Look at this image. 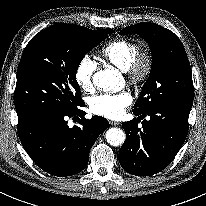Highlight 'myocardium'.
I'll list each match as a JSON object with an SVG mask.
<instances>
[{"label": "myocardium", "instance_id": "1", "mask_svg": "<svg viewBox=\"0 0 206 206\" xmlns=\"http://www.w3.org/2000/svg\"><path fill=\"white\" fill-rule=\"evenodd\" d=\"M153 64V55L149 50H138L125 71L130 83L139 85L145 82L151 75Z\"/></svg>", "mask_w": 206, "mask_h": 206}]
</instances>
